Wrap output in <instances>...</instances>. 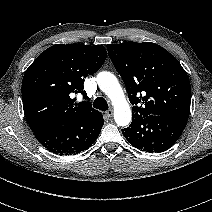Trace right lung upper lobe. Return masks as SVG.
<instances>
[{
    "label": "right lung upper lobe",
    "mask_w": 212,
    "mask_h": 212,
    "mask_svg": "<svg viewBox=\"0 0 212 212\" xmlns=\"http://www.w3.org/2000/svg\"><path fill=\"white\" fill-rule=\"evenodd\" d=\"M106 57L102 45L57 44L42 52L26 70L22 82L24 114L32 131L102 115L90 102L75 103L73 96H87L84 78L99 70Z\"/></svg>",
    "instance_id": "right-lung-upper-lobe-1"
}]
</instances>
